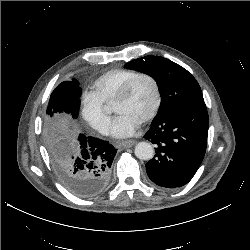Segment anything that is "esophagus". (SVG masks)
I'll list each match as a JSON object with an SVG mask.
<instances>
[{
  "label": "esophagus",
  "instance_id": "34e87169",
  "mask_svg": "<svg viewBox=\"0 0 250 250\" xmlns=\"http://www.w3.org/2000/svg\"><path fill=\"white\" fill-rule=\"evenodd\" d=\"M135 143H136L135 140H126L123 142H119L117 146L132 147Z\"/></svg>",
  "mask_w": 250,
  "mask_h": 250
}]
</instances>
